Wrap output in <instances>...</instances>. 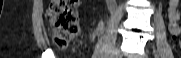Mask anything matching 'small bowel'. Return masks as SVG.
<instances>
[{"mask_svg": "<svg viewBox=\"0 0 181 58\" xmlns=\"http://www.w3.org/2000/svg\"><path fill=\"white\" fill-rule=\"evenodd\" d=\"M169 29L173 41L181 34V8L178 0H170L168 5Z\"/></svg>", "mask_w": 181, "mask_h": 58, "instance_id": "1", "label": "small bowel"}]
</instances>
